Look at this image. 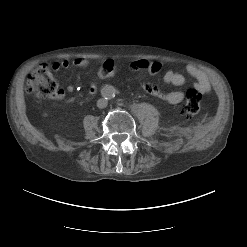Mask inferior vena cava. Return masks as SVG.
<instances>
[{"instance_id": "obj_1", "label": "inferior vena cava", "mask_w": 247, "mask_h": 247, "mask_svg": "<svg viewBox=\"0 0 247 247\" xmlns=\"http://www.w3.org/2000/svg\"><path fill=\"white\" fill-rule=\"evenodd\" d=\"M108 104V101L104 98H101L97 101V107L102 109V108H105Z\"/></svg>"}]
</instances>
